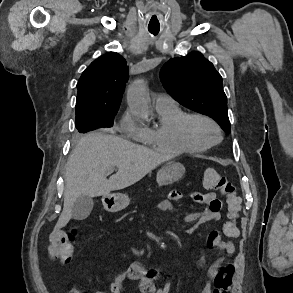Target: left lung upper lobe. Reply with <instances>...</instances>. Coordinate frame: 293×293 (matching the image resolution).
<instances>
[{
    "label": "left lung upper lobe",
    "instance_id": "5c2ea615",
    "mask_svg": "<svg viewBox=\"0 0 293 293\" xmlns=\"http://www.w3.org/2000/svg\"><path fill=\"white\" fill-rule=\"evenodd\" d=\"M164 88L183 106L213 118L230 132L222 77L199 52L170 59L160 71Z\"/></svg>",
    "mask_w": 293,
    "mask_h": 293
}]
</instances>
